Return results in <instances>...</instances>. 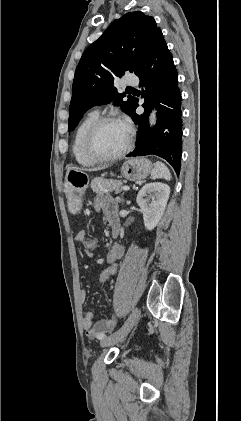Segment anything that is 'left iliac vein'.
I'll return each instance as SVG.
<instances>
[{
	"instance_id": "1",
	"label": "left iliac vein",
	"mask_w": 241,
	"mask_h": 421,
	"mask_svg": "<svg viewBox=\"0 0 241 421\" xmlns=\"http://www.w3.org/2000/svg\"><path fill=\"white\" fill-rule=\"evenodd\" d=\"M138 317H139V309L134 308L130 316L128 317V319L125 321L124 325L117 332L104 338L100 343L101 346L102 347L112 346L122 341L131 331Z\"/></svg>"
}]
</instances>
